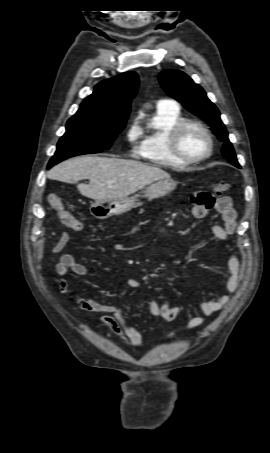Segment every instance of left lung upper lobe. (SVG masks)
Masks as SVG:
<instances>
[{"mask_svg":"<svg viewBox=\"0 0 270 453\" xmlns=\"http://www.w3.org/2000/svg\"><path fill=\"white\" fill-rule=\"evenodd\" d=\"M159 81L164 91L183 103L186 109L206 121L218 139L224 142L222 154L234 166L239 165L234 149L228 139V133L220 119L217 107L207 98L202 87L193 82L184 72L165 70L159 74Z\"/></svg>","mask_w":270,"mask_h":453,"instance_id":"5c2ea615","label":"left lung upper lobe"}]
</instances>
